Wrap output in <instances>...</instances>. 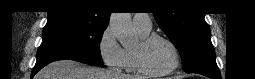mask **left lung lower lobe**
<instances>
[{
  "label": "left lung lower lobe",
  "mask_w": 255,
  "mask_h": 79,
  "mask_svg": "<svg viewBox=\"0 0 255 79\" xmlns=\"http://www.w3.org/2000/svg\"><path fill=\"white\" fill-rule=\"evenodd\" d=\"M192 73L201 74V75L209 77L210 79H221L219 69L218 70H212V69H210V70H200V71H195V72H192Z\"/></svg>",
  "instance_id": "1"
}]
</instances>
